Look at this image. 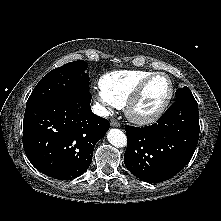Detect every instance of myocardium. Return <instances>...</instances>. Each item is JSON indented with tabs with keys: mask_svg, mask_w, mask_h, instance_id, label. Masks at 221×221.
I'll list each match as a JSON object with an SVG mask.
<instances>
[{
	"mask_svg": "<svg viewBox=\"0 0 221 221\" xmlns=\"http://www.w3.org/2000/svg\"><path fill=\"white\" fill-rule=\"evenodd\" d=\"M157 76L165 77L169 82V93L160 107L147 115H139L135 112V107L143 96L147 85ZM174 83L171 77L164 72H153L142 79L135 87L124 104V112L129 121L137 125H147L157 121L167 110L174 96Z\"/></svg>",
	"mask_w": 221,
	"mask_h": 221,
	"instance_id": "obj_1",
	"label": "myocardium"
}]
</instances>
